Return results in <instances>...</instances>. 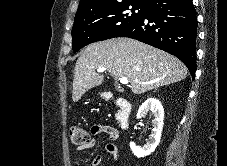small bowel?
<instances>
[{"mask_svg":"<svg viewBox=\"0 0 227 166\" xmlns=\"http://www.w3.org/2000/svg\"><path fill=\"white\" fill-rule=\"evenodd\" d=\"M90 133L93 136H99V135H106L108 136V138L110 139H117L118 137V133L117 131L107 125H94L90 128ZM96 144L95 139H91V142L89 145H86L84 147H79L78 151L86 149V148H93ZM104 153H107L109 155H112L115 160H121L122 156L119 153V149L118 147L113 144V143H107L104 146ZM102 162V155L98 154L97 156H95L94 158H92L91 160L88 161L87 166H99Z\"/></svg>","mask_w":227,"mask_h":166,"instance_id":"c3829d8e","label":"small bowel"}]
</instances>
